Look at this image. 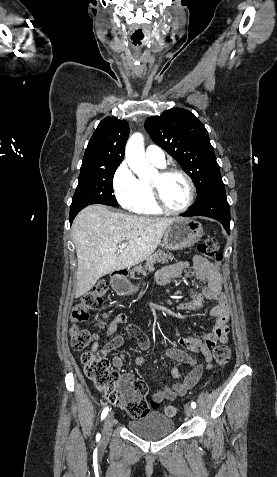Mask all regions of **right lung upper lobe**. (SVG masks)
Instances as JSON below:
<instances>
[{"label":"right lung upper lobe","instance_id":"cb5924a9","mask_svg":"<svg viewBox=\"0 0 277 477\" xmlns=\"http://www.w3.org/2000/svg\"><path fill=\"white\" fill-rule=\"evenodd\" d=\"M128 135L129 126L125 120L103 119L88 143L80 171L119 166Z\"/></svg>","mask_w":277,"mask_h":477}]
</instances>
